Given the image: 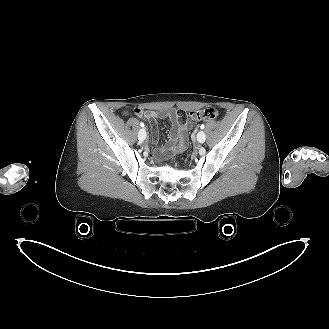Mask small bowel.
<instances>
[{
    "instance_id": "small-bowel-1",
    "label": "small bowel",
    "mask_w": 329,
    "mask_h": 329,
    "mask_svg": "<svg viewBox=\"0 0 329 329\" xmlns=\"http://www.w3.org/2000/svg\"><path fill=\"white\" fill-rule=\"evenodd\" d=\"M135 114L152 125V141L155 144L159 141V133L154 122L160 118L171 122L168 142L156 153L157 156L170 158L174 153L181 152L186 147L187 132L192 128V122L188 120L189 114L186 110L175 108L154 111L136 108ZM149 155L152 156L151 153Z\"/></svg>"
}]
</instances>
